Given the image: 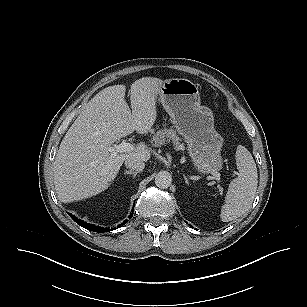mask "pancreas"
<instances>
[{
  "label": "pancreas",
  "mask_w": 307,
  "mask_h": 307,
  "mask_svg": "<svg viewBox=\"0 0 307 307\" xmlns=\"http://www.w3.org/2000/svg\"><path fill=\"white\" fill-rule=\"evenodd\" d=\"M152 138L151 142L153 143L154 147H159L161 145H165L167 143H172L175 150H182L184 151L185 146L181 143V139L178 137L176 131L173 128H159L157 127V131H151Z\"/></svg>",
  "instance_id": "pancreas-1"
}]
</instances>
